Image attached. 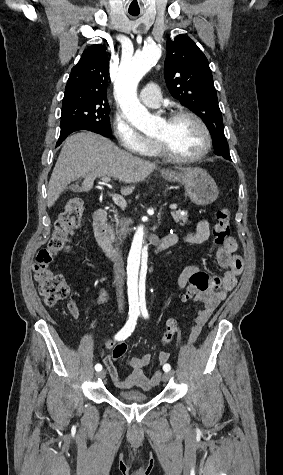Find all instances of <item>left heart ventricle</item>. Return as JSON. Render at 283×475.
<instances>
[{
    "mask_svg": "<svg viewBox=\"0 0 283 475\" xmlns=\"http://www.w3.org/2000/svg\"><path fill=\"white\" fill-rule=\"evenodd\" d=\"M154 138L162 140L174 156L189 157L202 148L204 133L193 119L181 117L171 122L164 119Z\"/></svg>",
    "mask_w": 283,
    "mask_h": 475,
    "instance_id": "left-heart-ventricle-1",
    "label": "left heart ventricle"
}]
</instances>
